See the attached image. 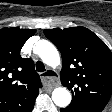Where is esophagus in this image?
<instances>
[{"mask_svg":"<svg viewBox=\"0 0 112 112\" xmlns=\"http://www.w3.org/2000/svg\"><path fill=\"white\" fill-rule=\"evenodd\" d=\"M41 80L48 89H52L58 84V74L54 70L48 69L41 74Z\"/></svg>","mask_w":112,"mask_h":112,"instance_id":"1","label":"esophagus"}]
</instances>
